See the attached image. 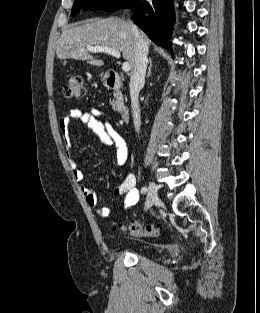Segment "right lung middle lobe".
Here are the masks:
<instances>
[{
	"label": "right lung middle lobe",
	"mask_w": 260,
	"mask_h": 313,
	"mask_svg": "<svg viewBox=\"0 0 260 313\" xmlns=\"http://www.w3.org/2000/svg\"><path fill=\"white\" fill-rule=\"evenodd\" d=\"M126 0L120 1V2H114L110 0H75L74 5L72 7V16L78 14L81 9L87 10H105V11H115L120 6L123 5V3Z\"/></svg>",
	"instance_id": "right-lung-middle-lobe-1"
}]
</instances>
